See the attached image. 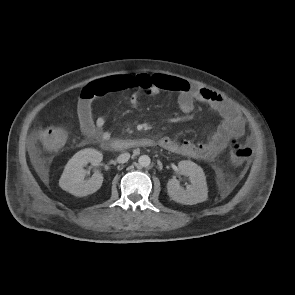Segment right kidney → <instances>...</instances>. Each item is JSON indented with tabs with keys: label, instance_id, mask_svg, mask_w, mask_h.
Here are the masks:
<instances>
[{
	"label": "right kidney",
	"instance_id": "ca27d5eb",
	"mask_svg": "<svg viewBox=\"0 0 295 295\" xmlns=\"http://www.w3.org/2000/svg\"><path fill=\"white\" fill-rule=\"evenodd\" d=\"M103 159L101 152L86 148L77 152L66 164L59 180V186L74 196L83 197L96 192L102 185L103 175L96 172L89 180H84V166L98 165Z\"/></svg>",
	"mask_w": 295,
	"mask_h": 295
}]
</instances>
